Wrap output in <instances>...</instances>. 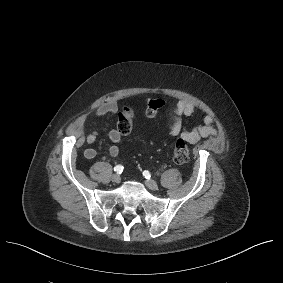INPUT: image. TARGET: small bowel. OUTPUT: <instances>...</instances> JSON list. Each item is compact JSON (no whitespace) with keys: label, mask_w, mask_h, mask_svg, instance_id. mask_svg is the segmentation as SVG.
Segmentation results:
<instances>
[{"label":"small bowel","mask_w":283,"mask_h":283,"mask_svg":"<svg viewBox=\"0 0 283 283\" xmlns=\"http://www.w3.org/2000/svg\"><path fill=\"white\" fill-rule=\"evenodd\" d=\"M194 105L186 100H180L177 102L175 108L172 111L173 124L169 129V135L183 140L190 144L197 143L201 138L214 136L217 134L216 122L212 115H206L202 125L196 126L192 129H186L183 124V118L190 117L194 113ZM117 105L114 103H105L99 107V109L91 116L90 121L92 129L85 136L83 135V122L75 121L69 127L71 134L78 137V146L83 145L85 142L93 144L98 137V132L95 128L96 123L105 116L115 117L117 115ZM108 139L111 145L108 148L110 156H117L120 153V144L122 142V136L120 133L112 129L108 132ZM97 155L94 148H86L84 150V156L87 159H93Z\"/></svg>","instance_id":"small-bowel-1"}]
</instances>
